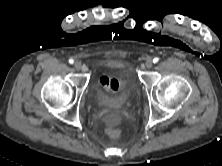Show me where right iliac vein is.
<instances>
[{"label": "right iliac vein", "instance_id": "right-iliac-vein-1", "mask_svg": "<svg viewBox=\"0 0 222 166\" xmlns=\"http://www.w3.org/2000/svg\"><path fill=\"white\" fill-rule=\"evenodd\" d=\"M81 67H82V65H81L80 62L77 61V62L74 63V68H75L76 70H80Z\"/></svg>", "mask_w": 222, "mask_h": 166}]
</instances>
